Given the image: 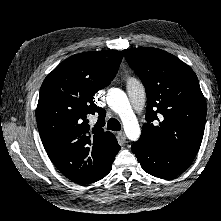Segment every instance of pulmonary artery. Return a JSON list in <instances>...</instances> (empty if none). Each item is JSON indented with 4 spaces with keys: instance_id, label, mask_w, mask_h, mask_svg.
Here are the masks:
<instances>
[{
    "instance_id": "obj_1",
    "label": "pulmonary artery",
    "mask_w": 221,
    "mask_h": 221,
    "mask_svg": "<svg viewBox=\"0 0 221 221\" xmlns=\"http://www.w3.org/2000/svg\"><path fill=\"white\" fill-rule=\"evenodd\" d=\"M125 82L129 97L140 107L142 99L145 96L143 83L138 78L131 75L125 77Z\"/></svg>"
}]
</instances>
